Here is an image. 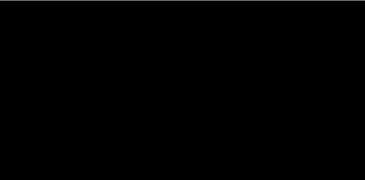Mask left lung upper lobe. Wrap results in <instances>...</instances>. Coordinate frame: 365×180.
I'll return each mask as SVG.
<instances>
[{"mask_svg": "<svg viewBox=\"0 0 365 180\" xmlns=\"http://www.w3.org/2000/svg\"><path fill=\"white\" fill-rule=\"evenodd\" d=\"M224 63L234 72L238 81V91L233 103H239L265 95L262 82L252 70L231 59H225Z\"/></svg>", "mask_w": 365, "mask_h": 180, "instance_id": "obj_1", "label": "left lung upper lobe"}]
</instances>
